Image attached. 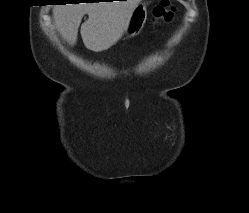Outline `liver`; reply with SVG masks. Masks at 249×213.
<instances>
[{
    "label": "liver",
    "mask_w": 249,
    "mask_h": 213,
    "mask_svg": "<svg viewBox=\"0 0 249 213\" xmlns=\"http://www.w3.org/2000/svg\"><path fill=\"white\" fill-rule=\"evenodd\" d=\"M142 0L61 4L53 8L56 29L69 44L77 41L78 28L85 14L88 19L81 25L85 47L94 52L108 50L122 37L135 6Z\"/></svg>",
    "instance_id": "1"
}]
</instances>
